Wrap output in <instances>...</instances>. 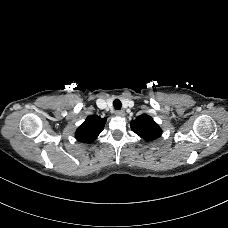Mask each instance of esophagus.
Masks as SVG:
<instances>
[{"label":"esophagus","mask_w":228,"mask_h":228,"mask_svg":"<svg viewBox=\"0 0 228 228\" xmlns=\"http://www.w3.org/2000/svg\"><path fill=\"white\" fill-rule=\"evenodd\" d=\"M115 115L123 117L125 115V112L123 110H117V111H115Z\"/></svg>","instance_id":"esophagus-1"}]
</instances>
